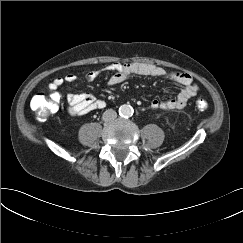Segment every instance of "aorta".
Wrapping results in <instances>:
<instances>
[{
    "label": "aorta",
    "mask_w": 243,
    "mask_h": 243,
    "mask_svg": "<svg viewBox=\"0 0 243 243\" xmlns=\"http://www.w3.org/2000/svg\"><path fill=\"white\" fill-rule=\"evenodd\" d=\"M119 115L125 118L131 117L133 115V108L127 104L121 105L119 108Z\"/></svg>",
    "instance_id": "1"
}]
</instances>
